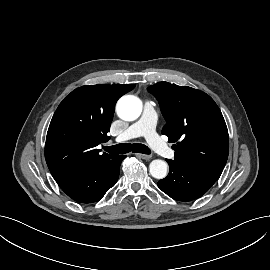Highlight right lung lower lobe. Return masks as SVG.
I'll use <instances>...</instances> for the list:
<instances>
[{
    "mask_svg": "<svg viewBox=\"0 0 270 270\" xmlns=\"http://www.w3.org/2000/svg\"><path fill=\"white\" fill-rule=\"evenodd\" d=\"M125 157V155H115L96 168L59 181L58 185L77 202H96L116 184L120 173V164Z\"/></svg>",
    "mask_w": 270,
    "mask_h": 270,
    "instance_id": "right-lung-lower-lobe-1",
    "label": "right lung lower lobe"
}]
</instances>
